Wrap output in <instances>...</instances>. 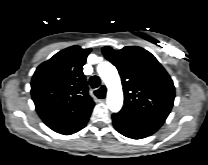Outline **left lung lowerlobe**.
<instances>
[{
    "mask_svg": "<svg viewBox=\"0 0 208 165\" xmlns=\"http://www.w3.org/2000/svg\"><path fill=\"white\" fill-rule=\"evenodd\" d=\"M115 129L122 135L132 139H142L152 135L163 122L138 118L118 112L112 115Z\"/></svg>",
    "mask_w": 208,
    "mask_h": 165,
    "instance_id": "left-lung-lower-lobe-1",
    "label": "left lung lower lobe"
}]
</instances>
